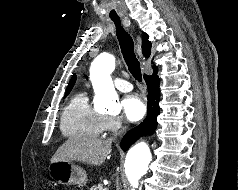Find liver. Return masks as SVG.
Listing matches in <instances>:
<instances>
[{"label": "liver", "mask_w": 238, "mask_h": 190, "mask_svg": "<svg viewBox=\"0 0 238 190\" xmlns=\"http://www.w3.org/2000/svg\"><path fill=\"white\" fill-rule=\"evenodd\" d=\"M111 140L88 137H70L56 151L51 163L77 161L99 166L104 163L111 151Z\"/></svg>", "instance_id": "obj_1"}]
</instances>
